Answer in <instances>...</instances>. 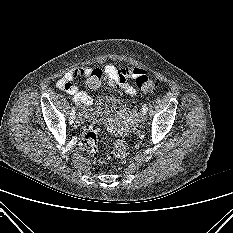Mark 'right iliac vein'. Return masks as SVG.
I'll return each mask as SVG.
<instances>
[{
    "mask_svg": "<svg viewBox=\"0 0 233 233\" xmlns=\"http://www.w3.org/2000/svg\"><path fill=\"white\" fill-rule=\"evenodd\" d=\"M80 118H81V116L79 114L75 117V126L76 127H78L80 124Z\"/></svg>",
    "mask_w": 233,
    "mask_h": 233,
    "instance_id": "63e3f726",
    "label": "right iliac vein"
}]
</instances>
